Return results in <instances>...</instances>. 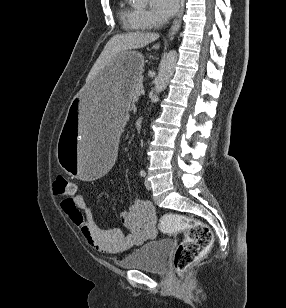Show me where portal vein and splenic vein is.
I'll return each mask as SVG.
<instances>
[{
    "label": "portal vein and splenic vein",
    "mask_w": 286,
    "mask_h": 308,
    "mask_svg": "<svg viewBox=\"0 0 286 308\" xmlns=\"http://www.w3.org/2000/svg\"><path fill=\"white\" fill-rule=\"evenodd\" d=\"M140 93H141V94H144V93H145V91H144L143 88L141 89Z\"/></svg>",
    "instance_id": "obj_1"
}]
</instances>
